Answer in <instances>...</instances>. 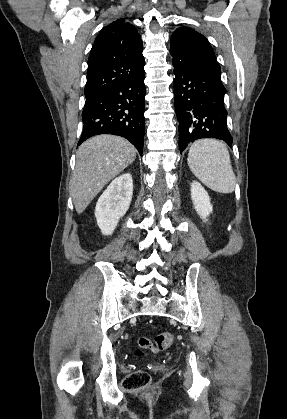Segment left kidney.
<instances>
[{
	"label": "left kidney",
	"instance_id": "left-kidney-1",
	"mask_svg": "<svg viewBox=\"0 0 287 419\" xmlns=\"http://www.w3.org/2000/svg\"><path fill=\"white\" fill-rule=\"evenodd\" d=\"M191 198L198 215L206 222L207 217L213 211V206L210 203V197L207 191L197 181L191 184Z\"/></svg>",
	"mask_w": 287,
	"mask_h": 419
}]
</instances>
